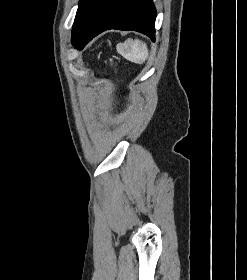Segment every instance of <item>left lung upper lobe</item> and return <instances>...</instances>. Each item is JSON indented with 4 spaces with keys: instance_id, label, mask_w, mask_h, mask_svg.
Here are the masks:
<instances>
[{
    "instance_id": "obj_1",
    "label": "left lung upper lobe",
    "mask_w": 247,
    "mask_h": 280,
    "mask_svg": "<svg viewBox=\"0 0 247 280\" xmlns=\"http://www.w3.org/2000/svg\"><path fill=\"white\" fill-rule=\"evenodd\" d=\"M101 0H80L78 10L76 13L75 21L72 29V37L75 36L83 23L85 22L87 16L92 11V9L100 2Z\"/></svg>"
}]
</instances>
